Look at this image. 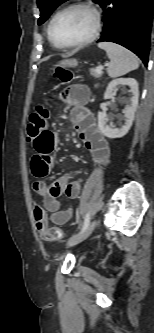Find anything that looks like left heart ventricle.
<instances>
[{"instance_id": "left-heart-ventricle-1", "label": "left heart ventricle", "mask_w": 154, "mask_h": 333, "mask_svg": "<svg viewBox=\"0 0 154 333\" xmlns=\"http://www.w3.org/2000/svg\"><path fill=\"white\" fill-rule=\"evenodd\" d=\"M92 27L93 20L88 11L71 9L55 20L52 33L57 43L69 45L88 37Z\"/></svg>"}]
</instances>
